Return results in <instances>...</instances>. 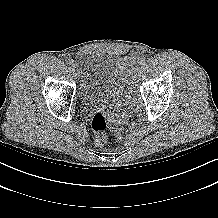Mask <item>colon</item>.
<instances>
[{"instance_id": "colon-1", "label": "colon", "mask_w": 218, "mask_h": 218, "mask_svg": "<svg viewBox=\"0 0 218 218\" xmlns=\"http://www.w3.org/2000/svg\"><path fill=\"white\" fill-rule=\"evenodd\" d=\"M95 142L98 145L105 144L110 137L107 117L104 112L96 111L91 120Z\"/></svg>"}]
</instances>
